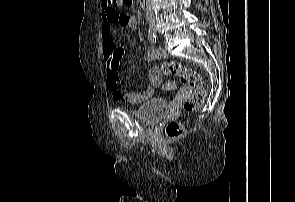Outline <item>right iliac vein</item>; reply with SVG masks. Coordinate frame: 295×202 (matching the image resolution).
Instances as JSON below:
<instances>
[{
  "instance_id": "63e3f726",
  "label": "right iliac vein",
  "mask_w": 295,
  "mask_h": 202,
  "mask_svg": "<svg viewBox=\"0 0 295 202\" xmlns=\"http://www.w3.org/2000/svg\"><path fill=\"white\" fill-rule=\"evenodd\" d=\"M151 27H152V29L155 31L156 30V28H155V25L154 24H151Z\"/></svg>"
}]
</instances>
